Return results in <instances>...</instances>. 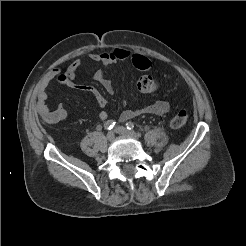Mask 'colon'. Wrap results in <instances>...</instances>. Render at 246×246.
Listing matches in <instances>:
<instances>
[{
	"label": "colon",
	"mask_w": 246,
	"mask_h": 246,
	"mask_svg": "<svg viewBox=\"0 0 246 246\" xmlns=\"http://www.w3.org/2000/svg\"><path fill=\"white\" fill-rule=\"evenodd\" d=\"M131 60L133 62V65L142 71H146L151 67L150 60L141 54H133L131 56ZM137 87L143 93H153L157 89V82L152 76L143 75L138 79ZM188 118L189 115L187 111L180 110L172 118L171 125L174 128L183 127L187 123Z\"/></svg>",
	"instance_id": "5ec220e1"
}]
</instances>
